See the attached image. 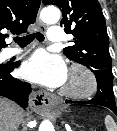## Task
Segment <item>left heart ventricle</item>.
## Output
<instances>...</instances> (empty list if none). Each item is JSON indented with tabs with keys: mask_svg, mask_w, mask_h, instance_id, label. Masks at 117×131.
Listing matches in <instances>:
<instances>
[{
	"mask_svg": "<svg viewBox=\"0 0 117 131\" xmlns=\"http://www.w3.org/2000/svg\"><path fill=\"white\" fill-rule=\"evenodd\" d=\"M65 85L69 87H79L81 85V79L78 75H68Z\"/></svg>",
	"mask_w": 117,
	"mask_h": 131,
	"instance_id": "obj_1",
	"label": "left heart ventricle"
}]
</instances>
